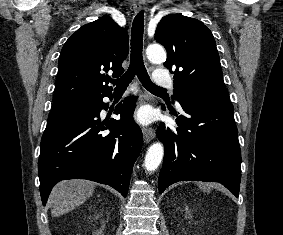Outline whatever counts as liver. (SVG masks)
Listing matches in <instances>:
<instances>
[{"mask_svg": "<svg viewBox=\"0 0 283 235\" xmlns=\"http://www.w3.org/2000/svg\"><path fill=\"white\" fill-rule=\"evenodd\" d=\"M95 184L87 180H63L49 196L51 214L61 216L83 204L94 192Z\"/></svg>", "mask_w": 283, "mask_h": 235, "instance_id": "6515ba94", "label": "liver"}]
</instances>
